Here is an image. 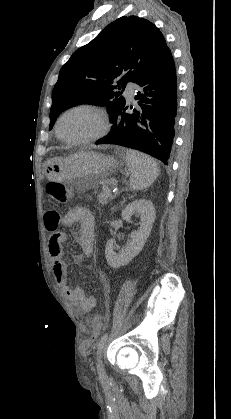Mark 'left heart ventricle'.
Segmentation results:
<instances>
[{
  "label": "left heart ventricle",
  "mask_w": 231,
  "mask_h": 419,
  "mask_svg": "<svg viewBox=\"0 0 231 419\" xmlns=\"http://www.w3.org/2000/svg\"><path fill=\"white\" fill-rule=\"evenodd\" d=\"M101 122L94 113L77 110L68 113L60 123V133L67 139H80L97 133Z\"/></svg>",
  "instance_id": "b2bd125f"
}]
</instances>
